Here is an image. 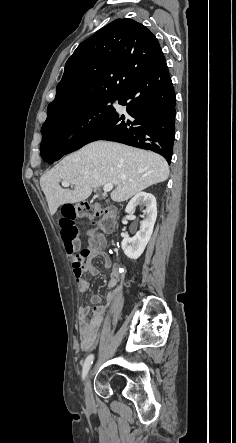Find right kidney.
<instances>
[{"instance_id": "obj_1", "label": "right kidney", "mask_w": 236, "mask_h": 443, "mask_svg": "<svg viewBox=\"0 0 236 443\" xmlns=\"http://www.w3.org/2000/svg\"><path fill=\"white\" fill-rule=\"evenodd\" d=\"M137 206L145 207L143 211L145 217L141 222L140 230L132 238L125 237L121 243L124 254L133 260L138 259L143 253L151 238L157 218L156 199L152 194L146 192L136 194L126 206L125 212L134 213ZM122 223L127 224V221L123 220Z\"/></svg>"}]
</instances>
